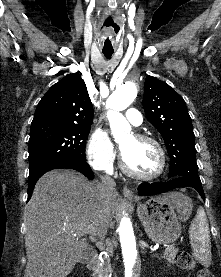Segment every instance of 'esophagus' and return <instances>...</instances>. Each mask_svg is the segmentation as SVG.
I'll list each match as a JSON object with an SVG mask.
<instances>
[{
	"label": "esophagus",
	"instance_id": "obj_1",
	"mask_svg": "<svg viewBox=\"0 0 221 277\" xmlns=\"http://www.w3.org/2000/svg\"><path fill=\"white\" fill-rule=\"evenodd\" d=\"M123 194H124V196H126L129 199H136V196L134 195L132 190H130L127 186H124Z\"/></svg>",
	"mask_w": 221,
	"mask_h": 277
}]
</instances>
